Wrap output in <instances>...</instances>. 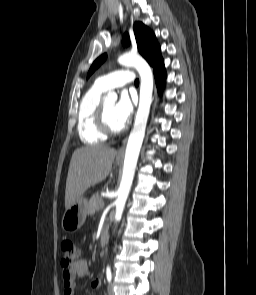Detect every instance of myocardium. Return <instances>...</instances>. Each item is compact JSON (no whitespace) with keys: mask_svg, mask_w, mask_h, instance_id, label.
Instances as JSON below:
<instances>
[{"mask_svg":"<svg viewBox=\"0 0 256 295\" xmlns=\"http://www.w3.org/2000/svg\"><path fill=\"white\" fill-rule=\"evenodd\" d=\"M96 123L98 126V129L105 135V136H115L122 132L123 127L119 129L112 128L106 117V110L105 105L103 102H100L99 107L96 112Z\"/></svg>","mask_w":256,"mask_h":295,"instance_id":"obj_1","label":"myocardium"}]
</instances>
